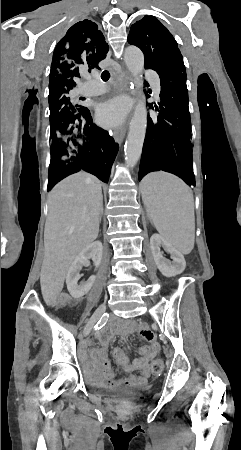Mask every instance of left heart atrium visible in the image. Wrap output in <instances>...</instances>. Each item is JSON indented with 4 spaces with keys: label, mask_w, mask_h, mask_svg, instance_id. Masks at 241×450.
I'll use <instances>...</instances> for the list:
<instances>
[{
    "label": "left heart atrium",
    "mask_w": 241,
    "mask_h": 450,
    "mask_svg": "<svg viewBox=\"0 0 241 450\" xmlns=\"http://www.w3.org/2000/svg\"><path fill=\"white\" fill-rule=\"evenodd\" d=\"M130 104L123 98L110 100L99 107L97 121L104 127L121 124L127 116Z\"/></svg>",
    "instance_id": "obj_1"
}]
</instances>
